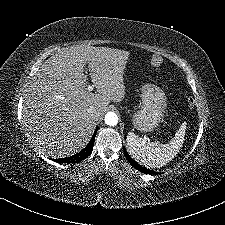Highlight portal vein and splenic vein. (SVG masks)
I'll use <instances>...</instances> for the list:
<instances>
[{
	"label": "portal vein and splenic vein",
	"mask_w": 225,
	"mask_h": 225,
	"mask_svg": "<svg viewBox=\"0 0 225 225\" xmlns=\"http://www.w3.org/2000/svg\"><path fill=\"white\" fill-rule=\"evenodd\" d=\"M93 88H94V86H90V85H89V86L87 87V90H88V91H92Z\"/></svg>",
	"instance_id": "obj_1"
}]
</instances>
